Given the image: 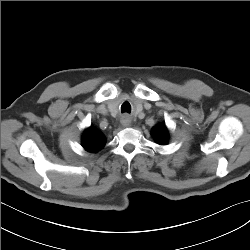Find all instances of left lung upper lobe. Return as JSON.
Returning <instances> with one entry per match:
<instances>
[{
    "mask_svg": "<svg viewBox=\"0 0 250 250\" xmlns=\"http://www.w3.org/2000/svg\"><path fill=\"white\" fill-rule=\"evenodd\" d=\"M152 133H153V137L155 141L158 144L164 145L168 142L169 137H168L167 128L165 124H160L156 126L155 128H153Z\"/></svg>",
    "mask_w": 250,
    "mask_h": 250,
    "instance_id": "1",
    "label": "left lung upper lobe"
}]
</instances>
